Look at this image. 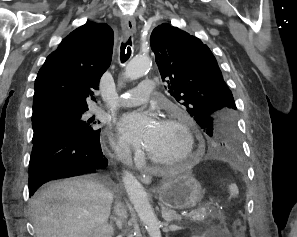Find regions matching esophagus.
Instances as JSON below:
<instances>
[{"mask_svg":"<svg viewBox=\"0 0 297 237\" xmlns=\"http://www.w3.org/2000/svg\"><path fill=\"white\" fill-rule=\"evenodd\" d=\"M121 25L125 36L129 35L130 33H134L136 30V21L132 16L124 17ZM140 180L144 184H150L152 181V176L150 175V172L144 171L140 175Z\"/></svg>","mask_w":297,"mask_h":237,"instance_id":"esophagus-1","label":"esophagus"}]
</instances>
